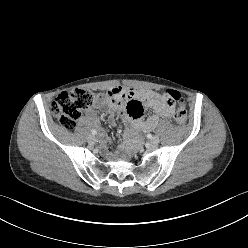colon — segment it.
Here are the masks:
<instances>
[{
	"label": "colon",
	"mask_w": 248,
	"mask_h": 248,
	"mask_svg": "<svg viewBox=\"0 0 248 248\" xmlns=\"http://www.w3.org/2000/svg\"><path fill=\"white\" fill-rule=\"evenodd\" d=\"M164 96L171 106H175L173 117L179 125H185L187 114L184 100L175 90H166ZM98 97L86 89H75L59 94L51 106V111L59 123L66 129H73L82 112L95 105Z\"/></svg>",
	"instance_id": "colon-1"
}]
</instances>
